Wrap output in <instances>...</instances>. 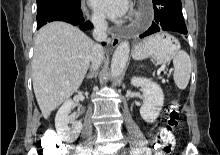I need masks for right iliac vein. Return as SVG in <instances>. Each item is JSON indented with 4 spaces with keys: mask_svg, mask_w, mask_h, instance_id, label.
I'll return each instance as SVG.
<instances>
[{
    "mask_svg": "<svg viewBox=\"0 0 220 155\" xmlns=\"http://www.w3.org/2000/svg\"><path fill=\"white\" fill-rule=\"evenodd\" d=\"M93 155H100V154L96 152V153H94Z\"/></svg>",
    "mask_w": 220,
    "mask_h": 155,
    "instance_id": "obj_1",
    "label": "right iliac vein"
}]
</instances>
